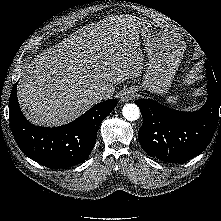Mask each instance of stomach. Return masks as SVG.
I'll return each mask as SVG.
<instances>
[{
  "label": "stomach",
  "instance_id": "0dacf381",
  "mask_svg": "<svg viewBox=\"0 0 221 221\" xmlns=\"http://www.w3.org/2000/svg\"><path fill=\"white\" fill-rule=\"evenodd\" d=\"M139 32L148 62L140 87L154 94L166 93L185 50L182 37L171 27L145 21Z\"/></svg>",
  "mask_w": 221,
  "mask_h": 221
}]
</instances>
